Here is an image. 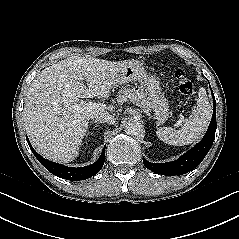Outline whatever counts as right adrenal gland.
<instances>
[{
	"instance_id": "2a0ac1e0",
	"label": "right adrenal gland",
	"mask_w": 239,
	"mask_h": 239,
	"mask_svg": "<svg viewBox=\"0 0 239 239\" xmlns=\"http://www.w3.org/2000/svg\"><path fill=\"white\" fill-rule=\"evenodd\" d=\"M92 123H96V127H97V126H98L99 124H101L102 122L92 121V122H90V125H91ZM88 134H89V132L87 133L86 137H88Z\"/></svg>"
}]
</instances>
